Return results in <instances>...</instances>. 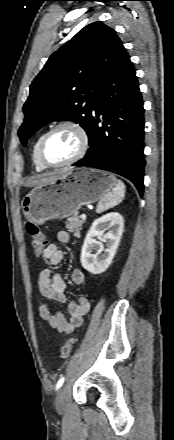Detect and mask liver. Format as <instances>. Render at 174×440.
Wrapping results in <instances>:
<instances>
[{"label": "liver", "mask_w": 174, "mask_h": 440, "mask_svg": "<svg viewBox=\"0 0 174 440\" xmlns=\"http://www.w3.org/2000/svg\"><path fill=\"white\" fill-rule=\"evenodd\" d=\"M58 175L59 174L40 177L39 179L30 182L29 185L30 186H37V185L45 184L49 181L54 180Z\"/></svg>", "instance_id": "6515ba94"}]
</instances>
